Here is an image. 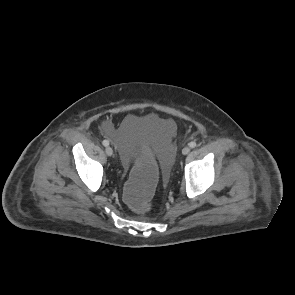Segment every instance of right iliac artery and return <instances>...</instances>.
Segmentation results:
<instances>
[{"instance_id": "1", "label": "right iliac artery", "mask_w": 295, "mask_h": 295, "mask_svg": "<svg viewBox=\"0 0 295 295\" xmlns=\"http://www.w3.org/2000/svg\"><path fill=\"white\" fill-rule=\"evenodd\" d=\"M102 144H103L104 146H108V145H109V141H108V140H103Z\"/></svg>"}]
</instances>
